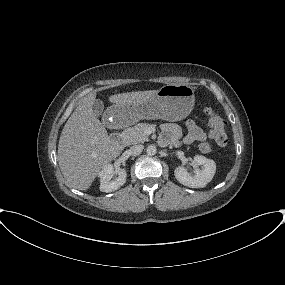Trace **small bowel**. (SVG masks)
I'll return each instance as SVG.
<instances>
[{
	"label": "small bowel",
	"instance_id": "c3829d8e",
	"mask_svg": "<svg viewBox=\"0 0 285 285\" xmlns=\"http://www.w3.org/2000/svg\"><path fill=\"white\" fill-rule=\"evenodd\" d=\"M186 135L183 138L184 143L192 144L196 141H204L207 138L206 132L193 120L186 122ZM181 139V128L176 123H165L162 125L161 141L164 144L179 146Z\"/></svg>",
	"mask_w": 285,
	"mask_h": 285
}]
</instances>
